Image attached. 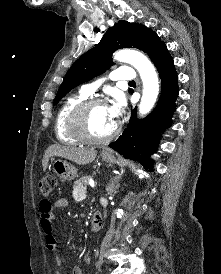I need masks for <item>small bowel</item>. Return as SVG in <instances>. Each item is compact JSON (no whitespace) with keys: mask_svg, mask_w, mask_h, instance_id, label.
<instances>
[{"mask_svg":"<svg viewBox=\"0 0 221 274\" xmlns=\"http://www.w3.org/2000/svg\"><path fill=\"white\" fill-rule=\"evenodd\" d=\"M68 206V201L64 198H60L51 204L47 200H43L39 205L40 214V226L45 238V246L47 250L55 253V264L57 267L61 266L62 260L57 253V240L53 232V224L55 220V215L53 213V208H66ZM56 274H61L59 270ZM71 274H85V271L80 266H75L71 270Z\"/></svg>","mask_w":221,"mask_h":274,"instance_id":"1","label":"small bowel"}]
</instances>
